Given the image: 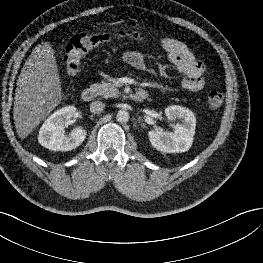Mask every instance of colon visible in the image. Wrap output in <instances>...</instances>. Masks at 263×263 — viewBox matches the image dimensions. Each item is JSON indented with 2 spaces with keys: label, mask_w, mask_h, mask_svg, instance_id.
<instances>
[{
  "label": "colon",
  "mask_w": 263,
  "mask_h": 263,
  "mask_svg": "<svg viewBox=\"0 0 263 263\" xmlns=\"http://www.w3.org/2000/svg\"><path fill=\"white\" fill-rule=\"evenodd\" d=\"M112 36L143 38L145 37V32L141 27H136L131 30H119L113 35L109 33L87 32L74 35L66 45L63 58L67 74H76L80 70L82 59L87 52L92 48L109 41ZM223 100L224 96L222 93L211 91L207 96V106L210 110L215 111L221 107Z\"/></svg>",
  "instance_id": "obj_1"
}]
</instances>
